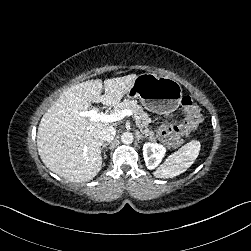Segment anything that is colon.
<instances>
[{
    "label": "colon",
    "mask_w": 251,
    "mask_h": 251,
    "mask_svg": "<svg viewBox=\"0 0 251 251\" xmlns=\"http://www.w3.org/2000/svg\"><path fill=\"white\" fill-rule=\"evenodd\" d=\"M181 106L184 118L180 121L161 124L157 130L159 140L170 148L181 146L203 119L200 107L189 96L182 98Z\"/></svg>",
    "instance_id": "1"
}]
</instances>
